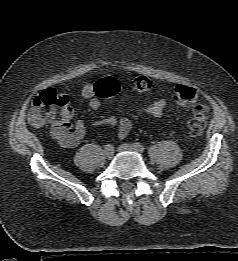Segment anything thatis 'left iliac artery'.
I'll use <instances>...</instances> for the list:
<instances>
[{"instance_id": "obj_1", "label": "left iliac artery", "mask_w": 238, "mask_h": 261, "mask_svg": "<svg viewBox=\"0 0 238 261\" xmlns=\"http://www.w3.org/2000/svg\"><path fill=\"white\" fill-rule=\"evenodd\" d=\"M133 146H134L135 150L138 152H143L145 149L144 146L138 142L133 143Z\"/></svg>"}]
</instances>
